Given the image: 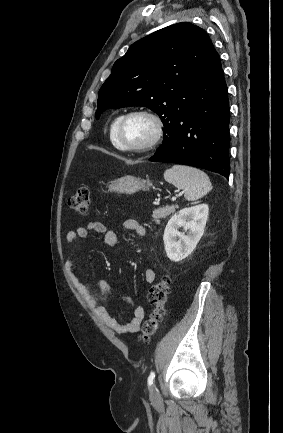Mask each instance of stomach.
<instances>
[{"label": "stomach", "mask_w": 283, "mask_h": 433, "mask_svg": "<svg viewBox=\"0 0 283 433\" xmlns=\"http://www.w3.org/2000/svg\"><path fill=\"white\" fill-rule=\"evenodd\" d=\"M152 182L149 180H139L136 176H131V174H126V176H121V178H116L108 188L110 192H125V194H133L137 190H142V188H148L151 186Z\"/></svg>", "instance_id": "0dacf381"}]
</instances>
